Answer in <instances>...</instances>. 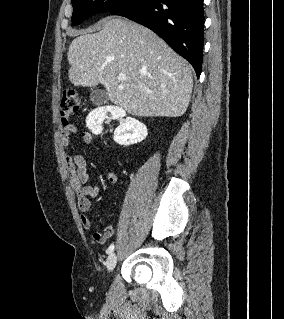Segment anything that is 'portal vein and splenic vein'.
Listing matches in <instances>:
<instances>
[{"label": "portal vein and splenic vein", "instance_id": "18ae733b", "mask_svg": "<svg viewBox=\"0 0 284 319\" xmlns=\"http://www.w3.org/2000/svg\"><path fill=\"white\" fill-rule=\"evenodd\" d=\"M117 79H118V81L123 82V81L126 79V77H125L124 74H120V75L117 77ZM131 86L133 87V85H131ZM135 87H136V86H135Z\"/></svg>", "mask_w": 284, "mask_h": 319}]
</instances>
